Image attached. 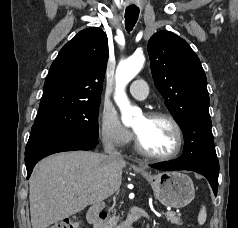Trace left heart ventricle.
<instances>
[{
  "label": "left heart ventricle",
  "instance_id": "left-heart-ventricle-1",
  "mask_svg": "<svg viewBox=\"0 0 238 228\" xmlns=\"http://www.w3.org/2000/svg\"><path fill=\"white\" fill-rule=\"evenodd\" d=\"M133 129L144 148L152 154L166 155L173 151L176 145V134L173 126L165 119L139 117Z\"/></svg>",
  "mask_w": 238,
  "mask_h": 228
}]
</instances>
